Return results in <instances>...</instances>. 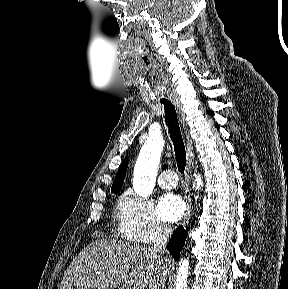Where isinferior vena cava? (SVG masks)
<instances>
[{
    "instance_id": "inferior-vena-cava-1",
    "label": "inferior vena cava",
    "mask_w": 288,
    "mask_h": 289,
    "mask_svg": "<svg viewBox=\"0 0 288 289\" xmlns=\"http://www.w3.org/2000/svg\"><path fill=\"white\" fill-rule=\"evenodd\" d=\"M172 231H173L172 228L168 226L167 224H163L161 226L157 235L155 245L153 247V250L156 253L160 255H164L167 252L166 245H167V241L169 240V237L172 234Z\"/></svg>"
}]
</instances>
